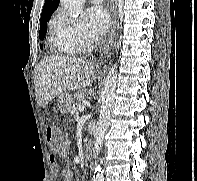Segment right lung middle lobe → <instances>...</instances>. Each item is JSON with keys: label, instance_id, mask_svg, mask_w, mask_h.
<instances>
[{"label": "right lung middle lobe", "instance_id": "1", "mask_svg": "<svg viewBox=\"0 0 197 181\" xmlns=\"http://www.w3.org/2000/svg\"><path fill=\"white\" fill-rule=\"evenodd\" d=\"M51 15L52 14L41 16V19H40V31H39V38H40V40H43L45 35H46L47 23H48L49 19L51 18ZM40 48H42V46H40Z\"/></svg>", "mask_w": 197, "mask_h": 181}]
</instances>
